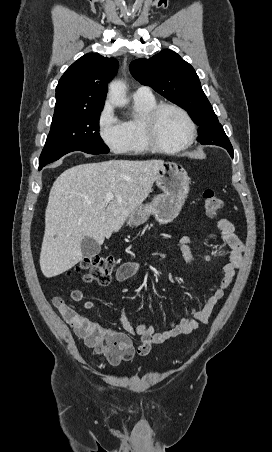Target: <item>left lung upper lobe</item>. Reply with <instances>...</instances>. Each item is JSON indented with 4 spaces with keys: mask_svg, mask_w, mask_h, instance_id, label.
<instances>
[{
    "mask_svg": "<svg viewBox=\"0 0 272 452\" xmlns=\"http://www.w3.org/2000/svg\"><path fill=\"white\" fill-rule=\"evenodd\" d=\"M130 71L141 84L152 87L189 113L199 126L202 144L222 147L224 143H230L194 68L177 53L165 49L149 59L134 60Z\"/></svg>",
    "mask_w": 272,
    "mask_h": 452,
    "instance_id": "5c2ea615",
    "label": "left lung upper lobe"
}]
</instances>
